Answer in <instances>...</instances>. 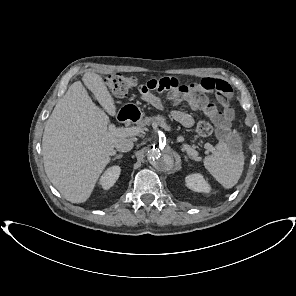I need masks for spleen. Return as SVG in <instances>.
<instances>
[{"label":"spleen","mask_w":296,"mask_h":296,"mask_svg":"<svg viewBox=\"0 0 296 296\" xmlns=\"http://www.w3.org/2000/svg\"><path fill=\"white\" fill-rule=\"evenodd\" d=\"M205 168L225 188H232L242 175L244 155L236 131L215 146L214 154L203 160Z\"/></svg>","instance_id":"obj_1"}]
</instances>
